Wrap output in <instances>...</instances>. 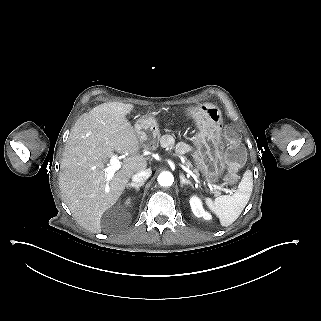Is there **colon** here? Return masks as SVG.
<instances>
[{"instance_id":"1","label":"colon","mask_w":321,"mask_h":321,"mask_svg":"<svg viewBox=\"0 0 321 321\" xmlns=\"http://www.w3.org/2000/svg\"><path fill=\"white\" fill-rule=\"evenodd\" d=\"M225 138L227 147L223 154V158L230 166L227 178L232 181L236 178L237 167L243 161V149L238 143V134L235 128L229 127L226 131Z\"/></svg>"}]
</instances>
